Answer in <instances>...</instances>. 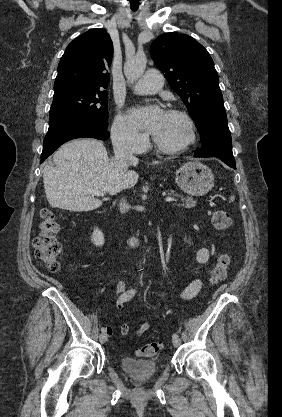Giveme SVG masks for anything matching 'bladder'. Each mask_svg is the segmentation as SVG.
<instances>
[{
	"label": "bladder",
	"instance_id": "1",
	"mask_svg": "<svg viewBox=\"0 0 282 417\" xmlns=\"http://www.w3.org/2000/svg\"><path fill=\"white\" fill-rule=\"evenodd\" d=\"M121 370L134 381L144 383L158 372L156 359H142L133 356H123L120 361Z\"/></svg>",
	"mask_w": 282,
	"mask_h": 417
}]
</instances>
